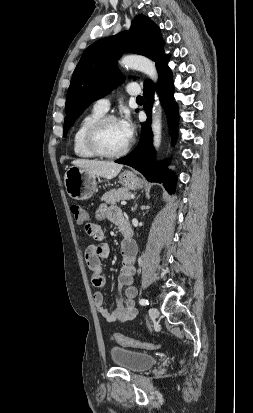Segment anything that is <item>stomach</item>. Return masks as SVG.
I'll list each match as a JSON object with an SVG mask.
<instances>
[{
  "label": "stomach",
  "mask_w": 253,
  "mask_h": 413,
  "mask_svg": "<svg viewBox=\"0 0 253 413\" xmlns=\"http://www.w3.org/2000/svg\"><path fill=\"white\" fill-rule=\"evenodd\" d=\"M119 182L128 190H136L143 185L132 171H123L119 175ZM64 185L72 199L87 200L96 192V176L77 166H70L64 175Z\"/></svg>",
  "instance_id": "1"
}]
</instances>
